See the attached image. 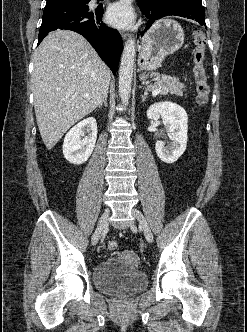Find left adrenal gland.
<instances>
[{
  "label": "left adrenal gland",
  "instance_id": "a2214340",
  "mask_svg": "<svg viewBox=\"0 0 247 332\" xmlns=\"http://www.w3.org/2000/svg\"><path fill=\"white\" fill-rule=\"evenodd\" d=\"M141 98H142V102H144L145 99L147 98V92H144V95H141Z\"/></svg>",
  "mask_w": 247,
  "mask_h": 332
}]
</instances>
